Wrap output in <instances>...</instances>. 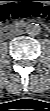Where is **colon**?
<instances>
[{
	"label": "colon",
	"mask_w": 50,
	"mask_h": 111,
	"mask_svg": "<svg viewBox=\"0 0 50 111\" xmlns=\"http://www.w3.org/2000/svg\"><path fill=\"white\" fill-rule=\"evenodd\" d=\"M38 17L48 20L50 8L43 0H12L0 8V18L7 22L12 18Z\"/></svg>",
	"instance_id": "5ec220e1"
}]
</instances>
